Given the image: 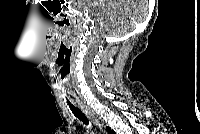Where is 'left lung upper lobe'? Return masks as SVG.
I'll return each instance as SVG.
<instances>
[{
    "label": "left lung upper lobe",
    "mask_w": 200,
    "mask_h": 134,
    "mask_svg": "<svg viewBox=\"0 0 200 134\" xmlns=\"http://www.w3.org/2000/svg\"><path fill=\"white\" fill-rule=\"evenodd\" d=\"M109 134H114L113 130H111L109 127L106 128Z\"/></svg>",
    "instance_id": "left-lung-upper-lobe-1"
}]
</instances>
